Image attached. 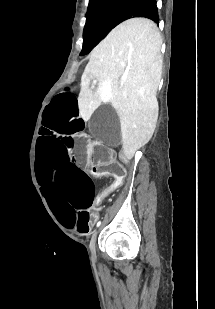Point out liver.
I'll return each mask as SVG.
<instances>
[{
    "label": "liver",
    "mask_w": 215,
    "mask_h": 309,
    "mask_svg": "<svg viewBox=\"0 0 215 309\" xmlns=\"http://www.w3.org/2000/svg\"><path fill=\"white\" fill-rule=\"evenodd\" d=\"M161 44L156 22L128 18L93 48L81 76L78 104L82 118L86 122L101 102H111L120 118L128 161L150 140L158 118ZM92 78L98 80L96 90L90 88Z\"/></svg>",
    "instance_id": "1"
}]
</instances>
